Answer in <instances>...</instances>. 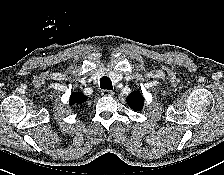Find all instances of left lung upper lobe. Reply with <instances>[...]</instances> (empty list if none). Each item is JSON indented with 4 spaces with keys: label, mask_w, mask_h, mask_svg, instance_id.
Returning <instances> with one entry per match:
<instances>
[{
    "label": "left lung upper lobe",
    "mask_w": 224,
    "mask_h": 175,
    "mask_svg": "<svg viewBox=\"0 0 224 175\" xmlns=\"http://www.w3.org/2000/svg\"><path fill=\"white\" fill-rule=\"evenodd\" d=\"M127 103L133 110L140 111L143 108L144 98L140 92L134 91L127 97Z\"/></svg>",
    "instance_id": "5c2ea615"
}]
</instances>
